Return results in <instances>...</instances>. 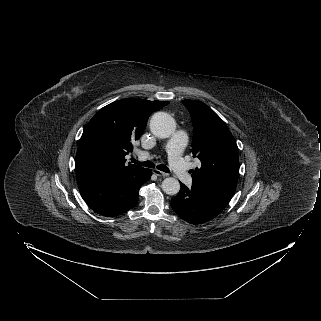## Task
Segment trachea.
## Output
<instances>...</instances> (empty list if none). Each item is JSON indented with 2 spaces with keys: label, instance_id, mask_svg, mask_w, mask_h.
Here are the masks:
<instances>
[{
  "label": "trachea",
  "instance_id": "3493384b",
  "mask_svg": "<svg viewBox=\"0 0 321 321\" xmlns=\"http://www.w3.org/2000/svg\"><path fill=\"white\" fill-rule=\"evenodd\" d=\"M132 163L141 165V166H145V167H149V168H157L160 171L166 172V173H170L169 168L166 165L160 164V165H155L153 162L151 161H144V162H140L135 160L134 158L131 159Z\"/></svg>",
  "mask_w": 321,
  "mask_h": 321
}]
</instances>
